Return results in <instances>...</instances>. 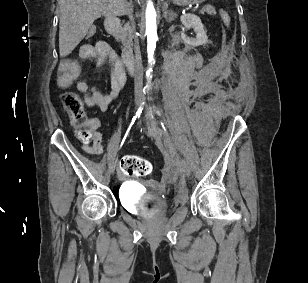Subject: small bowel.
I'll return each mask as SVG.
<instances>
[{
  "label": "small bowel",
  "mask_w": 308,
  "mask_h": 283,
  "mask_svg": "<svg viewBox=\"0 0 308 283\" xmlns=\"http://www.w3.org/2000/svg\"><path fill=\"white\" fill-rule=\"evenodd\" d=\"M81 59H95L98 66L108 61L111 65L109 93H102L80 78L81 67L77 59L68 58L61 64V71L83 95L88 107L97 106L101 111H106L110 104L117 99L126 81V75L121 61L118 59L112 47L105 41H98L90 45H83L80 49ZM82 150L90 155L103 153L102 135L95 127L92 143L83 141Z\"/></svg>",
  "instance_id": "1"
}]
</instances>
